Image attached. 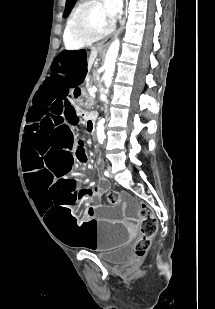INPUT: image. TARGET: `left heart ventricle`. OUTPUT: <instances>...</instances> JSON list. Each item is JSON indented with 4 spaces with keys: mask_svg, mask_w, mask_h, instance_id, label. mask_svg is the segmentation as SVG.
I'll use <instances>...</instances> for the list:
<instances>
[{
    "mask_svg": "<svg viewBox=\"0 0 215 309\" xmlns=\"http://www.w3.org/2000/svg\"><path fill=\"white\" fill-rule=\"evenodd\" d=\"M83 13H89L90 19L84 20V22H90V29H83L84 31H92L93 29H104V25H107V18L105 10H101L100 8H92Z\"/></svg>",
    "mask_w": 215,
    "mask_h": 309,
    "instance_id": "obj_1",
    "label": "left heart ventricle"
}]
</instances>
